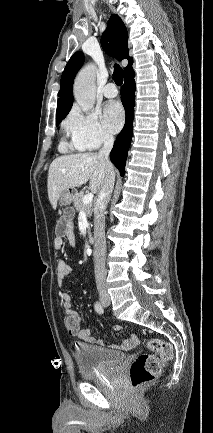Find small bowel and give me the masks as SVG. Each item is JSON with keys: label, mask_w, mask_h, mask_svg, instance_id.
<instances>
[{"label": "small bowel", "mask_w": 213, "mask_h": 433, "mask_svg": "<svg viewBox=\"0 0 213 433\" xmlns=\"http://www.w3.org/2000/svg\"><path fill=\"white\" fill-rule=\"evenodd\" d=\"M64 239H67L69 244L74 247L77 243L73 221L69 216H65L61 218L55 228V237H54V248L56 250H60L64 245ZM57 281L61 286H65L67 284L68 277L72 274V266L65 260H58L57 267ZM60 297L62 299V305L65 312H76L72 309V303L70 295L63 291L60 293ZM78 337L86 342L94 343L97 342V339L91 335L90 328H83L78 332ZM139 339L136 335H131L130 338L124 340L119 348L128 350L132 347L138 345Z\"/></svg>", "instance_id": "obj_1"}]
</instances>
